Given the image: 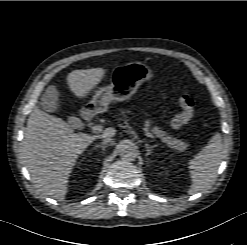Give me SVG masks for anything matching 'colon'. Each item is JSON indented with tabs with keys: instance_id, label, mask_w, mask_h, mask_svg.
Segmentation results:
<instances>
[{
	"instance_id": "colon-1",
	"label": "colon",
	"mask_w": 247,
	"mask_h": 245,
	"mask_svg": "<svg viewBox=\"0 0 247 245\" xmlns=\"http://www.w3.org/2000/svg\"><path fill=\"white\" fill-rule=\"evenodd\" d=\"M179 106L181 111L171 120V125L174 128H182L190 122L195 111V100L190 94L181 93Z\"/></svg>"
}]
</instances>
